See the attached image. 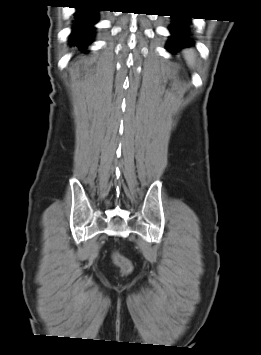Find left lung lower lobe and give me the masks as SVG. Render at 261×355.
<instances>
[{
  "label": "left lung lower lobe",
  "instance_id": "left-lung-lower-lobe-1",
  "mask_svg": "<svg viewBox=\"0 0 261 355\" xmlns=\"http://www.w3.org/2000/svg\"><path fill=\"white\" fill-rule=\"evenodd\" d=\"M171 17H173L174 21L170 27L171 36L166 48L168 51L177 52L193 44V39L191 37L188 17Z\"/></svg>",
  "mask_w": 261,
  "mask_h": 355
}]
</instances>
